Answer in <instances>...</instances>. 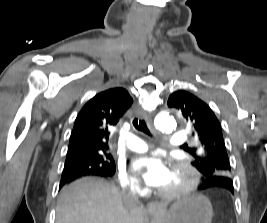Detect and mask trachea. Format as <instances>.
<instances>
[{
	"label": "trachea",
	"mask_w": 267,
	"mask_h": 223,
	"mask_svg": "<svg viewBox=\"0 0 267 223\" xmlns=\"http://www.w3.org/2000/svg\"><path fill=\"white\" fill-rule=\"evenodd\" d=\"M133 126L135 127V129H137L138 131L144 132L145 134L151 135L146 122L143 119H138V118H134L133 119Z\"/></svg>",
	"instance_id": "trachea-1"
}]
</instances>
